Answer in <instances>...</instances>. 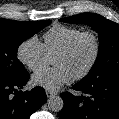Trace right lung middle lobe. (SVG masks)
I'll return each mask as SVG.
<instances>
[{
    "instance_id": "right-lung-middle-lobe-1",
    "label": "right lung middle lobe",
    "mask_w": 119,
    "mask_h": 119,
    "mask_svg": "<svg viewBox=\"0 0 119 119\" xmlns=\"http://www.w3.org/2000/svg\"><path fill=\"white\" fill-rule=\"evenodd\" d=\"M51 21L21 22L0 19V80L18 78L27 72L17 58L19 45Z\"/></svg>"
}]
</instances>
